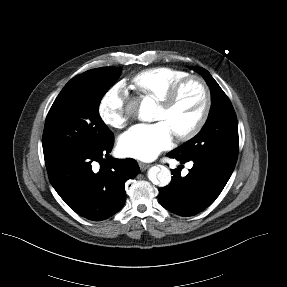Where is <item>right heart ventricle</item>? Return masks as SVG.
<instances>
[{
  "label": "right heart ventricle",
  "instance_id": "obj_1",
  "mask_svg": "<svg viewBox=\"0 0 287 287\" xmlns=\"http://www.w3.org/2000/svg\"><path fill=\"white\" fill-rule=\"evenodd\" d=\"M189 73L176 68L157 67L143 70L132 78L135 89L145 95L162 100L170 89Z\"/></svg>",
  "mask_w": 287,
  "mask_h": 287
}]
</instances>
